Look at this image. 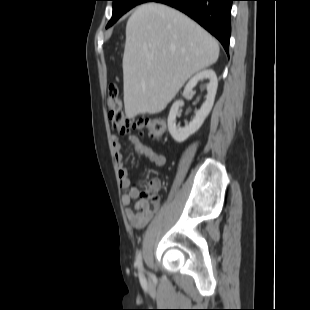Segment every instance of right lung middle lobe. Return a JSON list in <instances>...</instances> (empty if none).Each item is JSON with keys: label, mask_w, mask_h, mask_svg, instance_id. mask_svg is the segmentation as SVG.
<instances>
[{"label": "right lung middle lobe", "mask_w": 310, "mask_h": 310, "mask_svg": "<svg viewBox=\"0 0 310 310\" xmlns=\"http://www.w3.org/2000/svg\"><path fill=\"white\" fill-rule=\"evenodd\" d=\"M112 1H113V14L106 28L113 25L124 13H126L134 6L147 2L149 0H112Z\"/></svg>", "instance_id": "right-lung-middle-lobe-1"}]
</instances>
